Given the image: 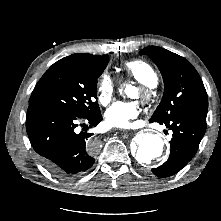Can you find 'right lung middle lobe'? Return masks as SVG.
Returning <instances> with one entry per match:
<instances>
[{
    "instance_id": "right-lung-middle-lobe-1",
    "label": "right lung middle lobe",
    "mask_w": 221,
    "mask_h": 221,
    "mask_svg": "<svg viewBox=\"0 0 221 221\" xmlns=\"http://www.w3.org/2000/svg\"><path fill=\"white\" fill-rule=\"evenodd\" d=\"M108 60L105 55L92 62L67 57L57 61L36 84L29 105L57 108L82 118L100 114L96 85Z\"/></svg>"
}]
</instances>
